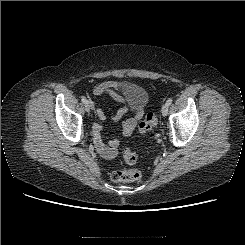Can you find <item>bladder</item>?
Returning <instances> with one entry per match:
<instances>
[{"instance_id":"1","label":"bladder","mask_w":245,"mask_h":245,"mask_svg":"<svg viewBox=\"0 0 245 245\" xmlns=\"http://www.w3.org/2000/svg\"><path fill=\"white\" fill-rule=\"evenodd\" d=\"M126 100L131 107H144L148 100V91L138 84H130L125 94Z\"/></svg>"}]
</instances>
